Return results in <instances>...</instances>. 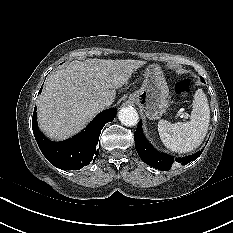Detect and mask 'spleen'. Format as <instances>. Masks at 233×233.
Returning <instances> with one entry per match:
<instances>
[{
  "label": "spleen",
  "instance_id": "3e777b00",
  "mask_svg": "<svg viewBox=\"0 0 233 233\" xmlns=\"http://www.w3.org/2000/svg\"><path fill=\"white\" fill-rule=\"evenodd\" d=\"M190 121L171 123L158 122V132L163 144L171 151L190 152L203 142L210 122V109L206 95L198 89L192 103Z\"/></svg>",
  "mask_w": 233,
  "mask_h": 233
}]
</instances>
